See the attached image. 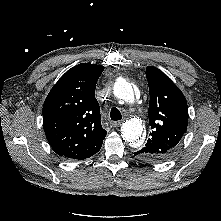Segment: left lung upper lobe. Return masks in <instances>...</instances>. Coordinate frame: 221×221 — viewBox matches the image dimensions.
Instances as JSON below:
<instances>
[{
  "label": "left lung upper lobe",
  "instance_id": "left-lung-upper-lobe-1",
  "mask_svg": "<svg viewBox=\"0 0 221 221\" xmlns=\"http://www.w3.org/2000/svg\"><path fill=\"white\" fill-rule=\"evenodd\" d=\"M149 85V123L152 132L144 148L135 152L150 162L168 158L186 133L188 124L187 101L181 90L156 67L146 68Z\"/></svg>",
  "mask_w": 221,
  "mask_h": 221
}]
</instances>
